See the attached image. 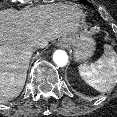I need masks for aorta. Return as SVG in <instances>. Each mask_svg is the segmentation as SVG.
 <instances>
[{"label": "aorta", "mask_w": 117, "mask_h": 117, "mask_svg": "<svg viewBox=\"0 0 117 117\" xmlns=\"http://www.w3.org/2000/svg\"><path fill=\"white\" fill-rule=\"evenodd\" d=\"M53 61L58 66H65L68 62V55L63 50H56L53 54Z\"/></svg>", "instance_id": "aorta-1"}]
</instances>
